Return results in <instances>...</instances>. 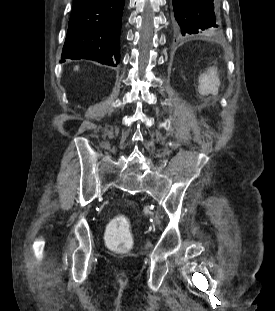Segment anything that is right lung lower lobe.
Here are the masks:
<instances>
[{
    "instance_id": "obj_1",
    "label": "right lung lower lobe",
    "mask_w": 275,
    "mask_h": 311,
    "mask_svg": "<svg viewBox=\"0 0 275 311\" xmlns=\"http://www.w3.org/2000/svg\"><path fill=\"white\" fill-rule=\"evenodd\" d=\"M124 2L74 0L61 62L89 59L116 66Z\"/></svg>"
}]
</instances>
